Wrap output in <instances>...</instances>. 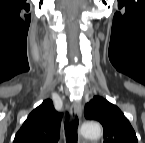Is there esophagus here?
<instances>
[{"mask_svg":"<svg viewBox=\"0 0 145 143\" xmlns=\"http://www.w3.org/2000/svg\"><path fill=\"white\" fill-rule=\"evenodd\" d=\"M70 112L74 116V118L77 116L78 118H81L82 116V107L79 102H73L70 107Z\"/></svg>","mask_w":145,"mask_h":143,"instance_id":"esophagus-1","label":"esophagus"}]
</instances>
